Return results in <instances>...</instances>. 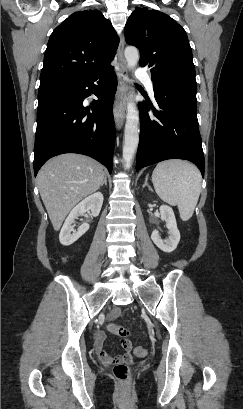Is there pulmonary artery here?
<instances>
[{"mask_svg":"<svg viewBox=\"0 0 243 409\" xmlns=\"http://www.w3.org/2000/svg\"><path fill=\"white\" fill-rule=\"evenodd\" d=\"M135 75H136L137 79H139L140 81H142L146 85V88H147L148 92L151 95H154L153 83H152V79H151L149 73H147V72H145L143 70H138V71H136Z\"/></svg>","mask_w":243,"mask_h":409,"instance_id":"1","label":"pulmonary artery"}]
</instances>
